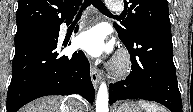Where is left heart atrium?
<instances>
[{
	"label": "left heart atrium",
	"mask_w": 193,
	"mask_h": 112,
	"mask_svg": "<svg viewBox=\"0 0 193 112\" xmlns=\"http://www.w3.org/2000/svg\"><path fill=\"white\" fill-rule=\"evenodd\" d=\"M76 45L91 57H100L112 52L113 44L106 40L102 26H94L79 33Z\"/></svg>",
	"instance_id": "39dd6f15"
}]
</instances>
